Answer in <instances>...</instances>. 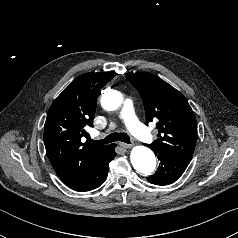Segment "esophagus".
<instances>
[{
    "label": "esophagus",
    "instance_id": "esophagus-1",
    "mask_svg": "<svg viewBox=\"0 0 238 238\" xmlns=\"http://www.w3.org/2000/svg\"><path fill=\"white\" fill-rule=\"evenodd\" d=\"M119 145L124 149H128L133 146L132 144H127V143H123V142L119 143Z\"/></svg>",
    "mask_w": 238,
    "mask_h": 238
}]
</instances>
